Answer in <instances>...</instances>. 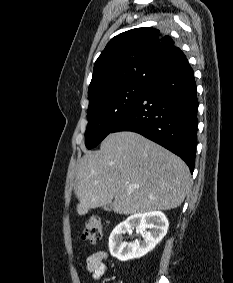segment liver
Wrapping results in <instances>:
<instances>
[{
    "mask_svg": "<svg viewBox=\"0 0 233 283\" xmlns=\"http://www.w3.org/2000/svg\"><path fill=\"white\" fill-rule=\"evenodd\" d=\"M189 180L188 166L172 152L135 132L111 133L78 165L77 213L108 203L123 215L171 210L184 201Z\"/></svg>",
    "mask_w": 233,
    "mask_h": 283,
    "instance_id": "obj_1",
    "label": "liver"
}]
</instances>
